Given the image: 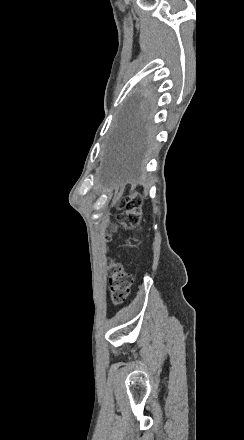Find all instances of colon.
<instances>
[{"mask_svg": "<svg viewBox=\"0 0 244 440\" xmlns=\"http://www.w3.org/2000/svg\"><path fill=\"white\" fill-rule=\"evenodd\" d=\"M141 216V201L136 194H133L126 203L125 210L121 212L118 219L127 229L136 226ZM110 280L109 295L112 303L121 305L129 295L132 284V276L128 274L120 263H112L108 268Z\"/></svg>", "mask_w": 244, "mask_h": 440, "instance_id": "1", "label": "colon"}]
</instances>
